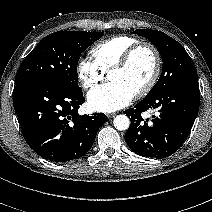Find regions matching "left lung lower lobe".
I'll list each match as a JSON object with an SVG mask.
<instances>
[{"label": "left lung lower lobe", "instance_id": "left-lung-lower-lobe-1", "mask_svg": "<svg viewBox=\"0 0 212 212\" xmlns=\"http://www.w3.org/2000/svg\"><path fill=\"white\" fill-rule=\"evenodd\" d=\"M198 79L180 82L166 91L144 98L135 108L125 110L131 125L125 141L133 152L143 157L162 159L176 152L187 139L198 113ZM157 109L158 116L144 121L141 113Z\"/></svg>", "mask_w": 212, "mask_h": 212}]
</instances>
